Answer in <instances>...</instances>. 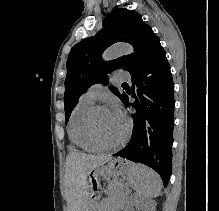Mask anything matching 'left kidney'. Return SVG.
<instances>
[{
  "instance_id": "5707ae66",
  "label": "left kidney",
  "mask_w": 219,
  "mask_h": 211,
  "mask_svg": "<svg viewBox=\"0 0 219 211\" xmlns=\"http://www.w3.org/2000/svg\"><path fill=\"white\" fill-rule=\"evenodd\" d=\"M131 199H132V205H134V207H137L138 211H153V209H150L148 205H144V203L138 201L137 197H131Z\"/></svg>"
}]
</instances>
